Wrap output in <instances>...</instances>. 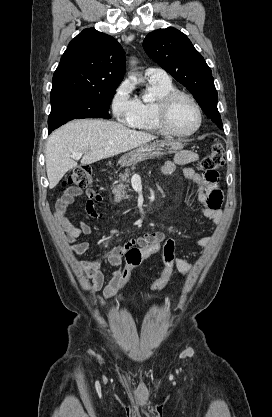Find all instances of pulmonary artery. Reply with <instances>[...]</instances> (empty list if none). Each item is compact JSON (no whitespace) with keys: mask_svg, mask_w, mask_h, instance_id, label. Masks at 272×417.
I'll return each instance as SVG.
<instances>
[{"mask_svg":"<svg viewBox=\"0 0 272 417\" xmlns=\"http://www.w3.org/2000/svg\"><path fill=\"white\" fill-rule=\"evenodd\" d=\"M145 76L148 80H154V81L170 80L167 72L161 68H149L146 70Z\"/></svg>","mask_w":272,"mask_h":417,"instance_id":"1","label":"pulmonary artery"}]
</instances>
